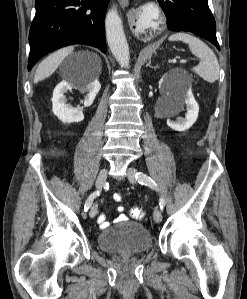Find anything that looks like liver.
<instances>
[{
	"label": "liver",
	"mask_w": 247,
	"mask_h": 299,
	"mask_svg": "<svg viewBox=\"0 0 247 299\" xmlns=\"http://www.w3.org/2000/svg\"><path fill=\"white\" fill-rule=\"evenodd\" d=\"M73 47H65L55 51L54 53L50 54L46 57L37 67L35 75H34V83H38L45 78L52 75L56 69L59 67L61 62L68 56L72 51ZM97 57V56H96ZM98 62H100L99 58L97 57Z\"/></svg>",
	"instance_id": "liver-1"
}]
</instances>
